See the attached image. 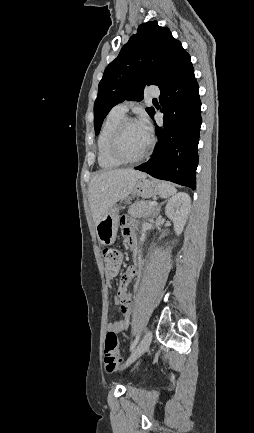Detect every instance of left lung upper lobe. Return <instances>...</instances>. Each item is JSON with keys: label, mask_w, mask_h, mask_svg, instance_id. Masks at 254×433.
<instances>
[{"label": "left lung upper lobe", "mask_w": 254, "mask_h": 433, "mask_svg": "<svg viewBox=\"0 0 254 433\" xmlns=\"http://www.w3.org/2000/svg\"><path fill=\"white\" fill-rule=\"evenodd\" d=\"M186 53L170 30L156 21L144 23L105 69L94 104L95 134L113 106L124 100H141L145 85L165 82ZM146 111L151 115L153 108Z\"/></svg>", "instance_id": "obj_1"}]
</instances>
